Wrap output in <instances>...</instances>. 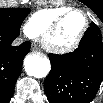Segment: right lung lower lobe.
<instances>
[{
	"label": "right lung lower lobe",
	"mask_w": 103,
	"mask_h": 103,
	"mask_svg": "<svg viewBox=\"0 0 103 103\" xmlns=\"http://www.w3.org/2000/svg\"><path fill=\"white\" fill-rule=\"evenodd\" d=\"M20 33L0 28V102H8L13 96L17 78L22 69V62L31 43L13 45V40Z\"/></svg>",
	"instance_id": "right-lung-lower-lobe-1"
}]
</instances>
